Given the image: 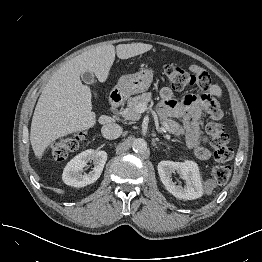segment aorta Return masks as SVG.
Returning <instances> with one entry per match:
<instances>
[{"label": "aorta", "mask_w": 262, "mask_h": 262, "mask_svg": "<svg viewBox=\"0 0 262 262\" xmlns=\"http://www.w3.org/2000/svg\"><path fill=\"white\" fill-rule=\"evenodd\" d=\"M132 148L136 153H145L148 149L147 142L143 138H136L133 141Z\"/></svg>", "instance_id": "aorta-1"}]
</instances>
